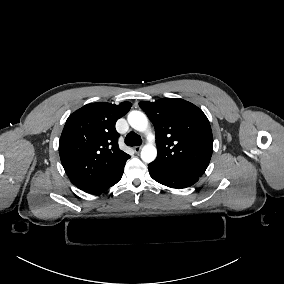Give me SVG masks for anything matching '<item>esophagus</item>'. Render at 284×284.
<instances>
[{"mask_svg": "<svg viewBox=\"0 0 284 284\" xmlns=\"http://www.w3.org/2000/svg\"><path fill=\"white\" fill-rule=\"evenodd\" d=\"M141 148L142 146H135L133 147V150L136 152V153H139L141 151Z\"/></svg>", "mask_w": 284, "mask_h": 284, "instance_id": "esophagus-1", "label": "esophagus"}]
</instances>
